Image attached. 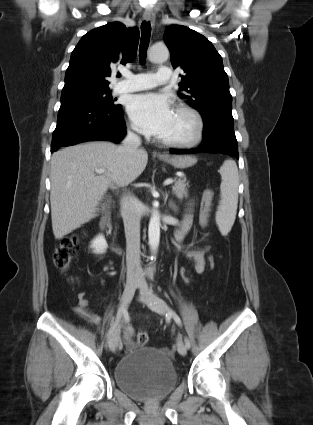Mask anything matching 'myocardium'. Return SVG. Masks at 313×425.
I'll list each match as a JSON object with an SVG mask.
<instances>
[{
    "label": "myocardium",
    "instance_id": "1",
    "mask_svg": "<svg viewBox=\"0 0 313 425\" xmlns=\"http://www.w3.org/2000/svg\"><path fill=\"white\" fill-rule=\"evenodd\" d=\"M176 112L188 115L194 122L195 130L189 139L185 140H167L160 139V142L169 147L188 148L199 144L204 136L205 123L202 115L195 108L188 105H178L175 109Z\"/></svg>",
    "mask_w": 313,
    "mask_h": 425
}]
</instances>
